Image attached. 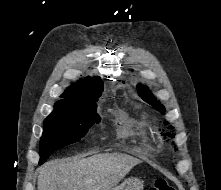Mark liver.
<instances>
[{
  "label": "liver",
  "instance_id": "1",
  "mask_svg": "<svg viewBox=\"0 0 221 190\" xmlns=\"http://www.w3.org/2000/svg\"><path fill=\"white\" fill-rule=\"evenodd\" d=\"M139 163L124 153L51 160L39 169L37 190H112Z\"/></svg>",
  "mask_w": 221,
  "mask_h": 190
}]
</instances>
